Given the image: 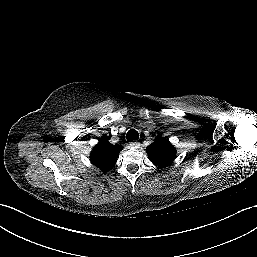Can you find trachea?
Wrapping results in <instances>:
<instances>
[{"label":"trachea","instance_id":"3493384b","mask_svg":"<svg viewBox=\"0 0 257 257\" xmlns=\"http://www.w3.org/2000/svg\"><path fill=\"white\" fill-rule=\"evenodd\" d=\"M139 138V133L135 129H130L127 132L126 139L127 141L131 142L137 140Z\"/></svg>","mask_w":257,"mask_h":257}]
</instances>
